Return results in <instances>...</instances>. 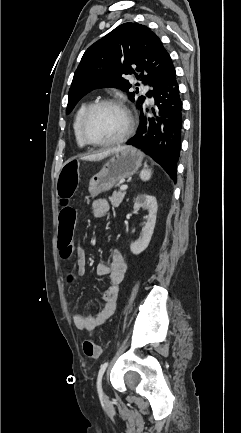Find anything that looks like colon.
Instances as JSON below:
<instances>
[{"instance_id": "5ec220e1", "label": "colon", "mask_w": 241, "mask_h": 433, "mask_svg": "<svg viewBox=\"0 0 241 433\" xmlns=\"http://www.w3.org/2000/svg\"><path fill=\"white\" fill-rule=\"evenodd\" d=\"M80 167L79 157H68L63 161L57 176V199L63 201L59 209L60 217L57 218L58 248L61 258L65 261L69 260L73 249H79L77 244H72L75 241L79 207H67V202L74 199L75 186L78 185V173H81ZM83 351L88 358L96 359L101 355L102 349L92 340H85Z\"/></svg>"}]
</instances>
